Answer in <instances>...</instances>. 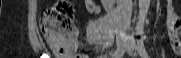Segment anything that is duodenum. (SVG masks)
<instances>
[{
	"label": "duodenum",
	"instance_id": "1",
	"mask_svg": "<svg viewBox=\"0 0 181 58\" xmlns=\"http://www.w3.org/2000/svg\"><path fill=\"white\" fill-rule=\"evenodd\" d=\"M117 2H122V1L103 0V4L105 5V7L108 8V9H113L114 11L117 9V8H116V3H117Z\"/></svg>",
	"mask_w": 181,
	"mask_h": 58
}]
</instances>
